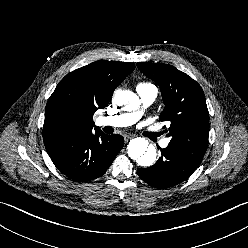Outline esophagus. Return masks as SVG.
<instances>
[{
	"mask_svg": "<svg viewBox=\"0 0 248 248\" xmlns=\"http://www.w3.org/2000/svg\"><path fill=\"white\" fill-rule=\"evenodd\" d=\"M132 138V135H125L124 140L125 142H128Z\"/></svg>",
	"mask_w": 248,
	"mask_h": 248,
	"instance_id": "esophagus-1",
	"label": "esophagus"
}]
</instances>
